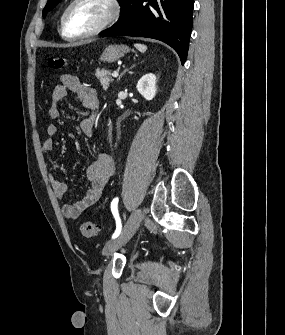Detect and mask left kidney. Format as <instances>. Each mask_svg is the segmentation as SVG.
<instances>
[{
    "mask_svg": "<svg viewBox=\"0 0 285 335\" xmlns=\"http://www.w3.org/2000/svg\"><path fill=\"white\" fill-rule=\"evenodd\" d=\"M139 94L145 98V100H153L156 96V76L155 74H145L136 86Z\"/></svg>",
    "mask_w": 285,
    "mask_h": 335,
    "instance_id": "left-kidney-1",
    "label": "left kidney"
}]
</instances>
